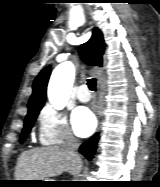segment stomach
I'll list each match as a JSON object with an SVG mask.
<instances>
[{
  "label": "stomach",
  "mask_w": 160,
  "mask_h": 187,
  "mask_svg": "<svg viewBox=\"0 0 160 187\" xmlns=\"http://www.w3.org/2000/svg\"><path fill=\"white\" fill-rule=\"evenodd\" d=\"M33 181H38V182H32L30 184L31 186H48V184H46L47 182H41V181H50V180L44 179V180H33Z\"/></svg>",
  "instance_id": "0dacf381"
}]
</instances>
